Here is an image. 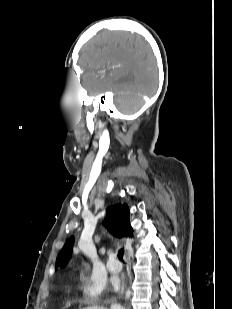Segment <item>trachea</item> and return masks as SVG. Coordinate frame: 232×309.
Returning a JSON list of instances; mask_svg holds the SVG:
<instances>
[{"instance_id":"trachea-1","label":"trachea","mask_w":232,"mask_h":309,"mask_svg":"<svg viewBox=\"0 0 232 309\" xmlns=\"http://www.w3.org/2000/svg\"><path fill=\"white\" fill-rule=\"evenodd\" d=\"M123 255H124V250L120 249L119 252H118V258H119L120 261H123Z\"/></svg>"}]
</instances>
